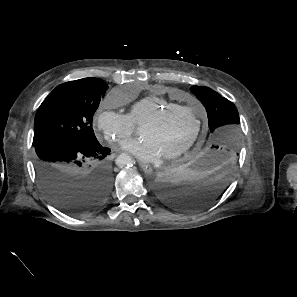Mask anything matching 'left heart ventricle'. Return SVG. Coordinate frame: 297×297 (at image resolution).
Wrapping results in <instances>:
<instances>
[{
    "label": "left heart ventricle",
    "instance_id": "1",
    "mask_svg": "<svg viewBox=\"0 0 297 297\" xmlns=\"http://www.w3.org/2000/svg\"><path fill=\"white\" fill-rule=\"evenodd\" d=\"M195 126L196 120L192 112L176 111L158 123L141 126L138 133L140 137L151 139L164 156L186 143Z\"/></svg>",
    "mask_w": 297,
    "mask_h": 297
}]
</instances>
